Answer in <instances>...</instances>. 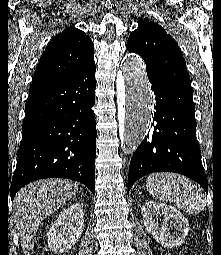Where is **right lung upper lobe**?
Instances as JSON below:
<instances>
[{
  "instance_id": "1",
  "label": "right lung upper lobe",
  "mask_w": 221,
  "mask_h": 255,
  "mask_svg": "<svg viewBox=\"0 0 221 255\" xmlns=\"http://www.w3.org/2000/svg\"><path fill=\"white\" fill-rule=\"evenodd\" d=\"M94 62V45L83 31L68 27L43 52L31 87L61 80Z\"/></svg>"
}]
</instances>
